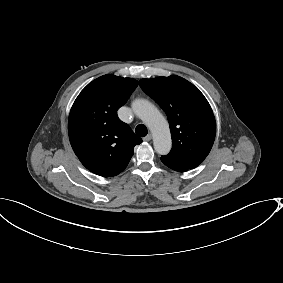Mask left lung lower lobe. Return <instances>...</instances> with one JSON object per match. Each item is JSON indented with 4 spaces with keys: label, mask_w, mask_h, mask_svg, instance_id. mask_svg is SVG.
Here are the masks:
<instances>
[{
    "label": "left lung lower lobe",
    "mask_w": 283,
    "mask_h": 283,
    "mask_svg": "<svg viewBox=\"0 0 283 283\" xmlns=\"http://www.w3.org/2000/svg\"><path fill=\"white\" fill-rule=\"evenodd\" d=\"M161 161H162L167 167L171 168L172 170L178 171V172H185V171L189 170V169H187V168H184V167H181V166H178V165L169 163V162L165 161L163 158H161Z\"/></svg>",
    "instance_id": "left-lung-lower-lobe-1"
}]
</instances>
